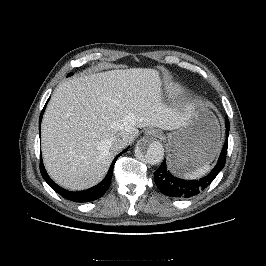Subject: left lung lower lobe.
Listing matches in <instances>:
<instances>
[{"label":"left lung lower lobe","instance_id":"0a47b994","mask_svg":"<svg viewBox=\"0 0 266 266\" xmlns=\"http://www.w3.org/2000/svg\"><path fill=\"white\" fill-rule=\"evenodd\" d=\"M226 126V140L222 148L221 154L217 161L216 166L212 171L205 177L199 180H183L174 177L167 169L166 160L162 162L160 167L154 174V181L159 190L170 197L176 198H190L202 192L208 187L211 182L215 179L217 174L223 169L226 163V155L228 148V132H229V120H225Z\"/></svg>","mask_w":266,"mask_h":266}]
</instances>
